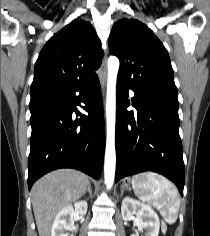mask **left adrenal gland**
<instances>
[{
  "label": "left adrenal gland",
  "mask_w": 210,
  "mask_h": 236,
  "mask_svg": "<svg viewBox=\"0 0 210 236\" xmlns=\"http://www.w3.org/2000/svg\"><path fill=\"white\" fill-rule=\"evenodd\" d=\"M124 193V187H121V195Z\"/></svg>",
  "instance_id": "left-adrenal-gland-1"
}]
</instances>
